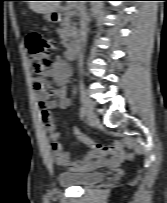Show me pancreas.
<instances>
[{
    "label": "pancreas",
    "mask_w": 167,
    "mask_h": 203,
    "mask_svg": "<svg viewBox=\"0 0 167 203\" xmlns=\"http://www.w3.org/2000/svg\"><path fill=\"white\" fill-rule=\"evenodd\" d=\"M61 26L62 28L59 31V35L62 39L63 46L67 48L69 39L76 34V23L70 21L68 17H65L64 21L61 23Z\"/></svg>",
    "instance_id": "cf45deb5"
}]
</instances>
